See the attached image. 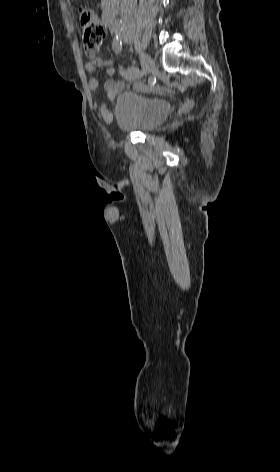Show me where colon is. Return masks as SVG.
Listing matches in <instances>:
<instances>
[{
	"instance_id": "1",
	"label": "colon",
	"mask_w": 280,
	"mask_h": 472,
	"mask_svg": "<svg viewBox=\"0 0 280 472\" xmlns=\"http://www.w3.org/2000/svg\"><path fill=\"white\" fill-rule=\"evenodd\" d=\"M79 21L83 31V49L86 55L94 56L106 37V29L97 15L87 6L78 10Z\"/></svg>"
}]
</instances>
